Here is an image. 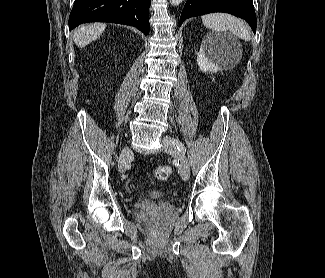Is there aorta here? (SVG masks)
I'll return each mask as SVG.
<instances>
[{"label": "aorta", "instance_id": "obj_1", "mask_svg": "<svg viewBox=\"0 0 325 278\" xmlns=\"http://www.w3.org/2000/svg\"><path fill=\"white\" fill-rule=\"evenodd\" d=\"M183 0H170L172 5H179Z\"/></svg>", "mask_w": 325, "mask_h": 278}]
</instances>
